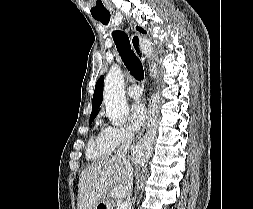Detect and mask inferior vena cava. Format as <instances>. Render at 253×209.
<instances>
[{
	"label": "inferior vena cava",
	"mask_w": 253,
	"mask_h": 209,
	"mask_svg": "<svg viewBox=\"0 0 253 209\" xmlns=\"http://www.w3.org/2000/svg\"><path fill=\"white\" fill-rule=\"evenodd\" d=\"M133 138H134L133 133L130 132V131H127L123 135L122 144L120 145V147L118 148V150L115 154L116 158H118L120 160H123L126 163L128 171H129V175H128V178H129V182H128V187H129V196L128 197H129V200H130L131 192H132L133 176H132V167H131L129 161L127 160V158H126V155H127L128 149L130 148V145L133 141ZM128 207H129V209H131L130 204H129Z\"/></svg>",
	"instance_id": "inferior-vena-cava-1"
}]
</instances>
